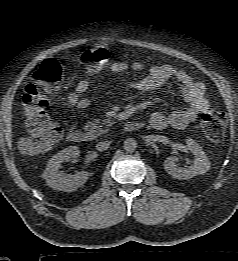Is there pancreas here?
Returning <instances> with one entry per match:
<instances>
[{
	"instance_id": "pancreas-1",
	"label": "pancreas",
	"mask_w": 238,
	"mask_h": 261,
	"mask_svg": "<svg viewBox=\"0 0 238 261\" xmlns=\"http://www.w3.org/2000/svg\"><path fill=\"white\" fill-rule=\"evenodd\" d=\"M103 124L105 125V128L103 129L100 119H95L93 122H88L84 126V130L88 133L89 136L95 138L103 133H106L110 126H112L113 122H111L110 119H105L103 121Z\"/></svg>"
}]
</instances>
